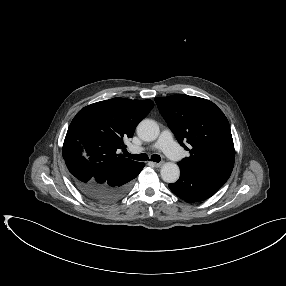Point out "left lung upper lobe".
<instances>
[{"label":"left lung upper lobe","mask_w":286,"mask_h":286,"mask_svg":"<svg viewBox=\"0 0 286 286\" xmlns=\"http://www.w3.org/2000/svg\"><path fill=\"white\" fill-rule=\"evenodd\" d=\"M155 102L178 142L190 153L178 162L179 167L225 184L235 150L223 112L209 100L185 94L158 97Z\"/></svg>","instance_id":"left-lung-upper-lobe-1"}]
</instances>
